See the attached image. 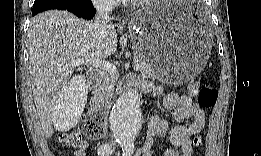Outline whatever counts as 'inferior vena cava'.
Segmentation results:
<instances>
[{"label":"inferior vena cava","mask_w":261,"mask_h":156,"mask_svg":"<svg viewBox=\"0 0 261 156\" xmlns=\"http://www.w3.org/2000/svg\"><path fill=\"white\" fill-rule=\"evenodd\" d=\"M96 8L95 19L91 22V28L94 36L105 37L109 28L110 13L113 10L111 0H98L94 2Z\"/></svg>","instance_id":"1"}]
</instances>
